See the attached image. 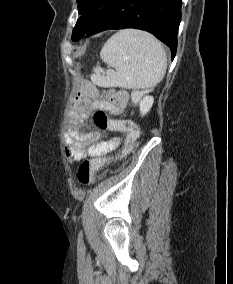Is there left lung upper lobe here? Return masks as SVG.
Wrapping results in <instances>:
<instances>
[{"label":"left lung upper lobe","instance_id":"obj_1","mask_svg":"<svg viewBox=\"0 0 233 284\" xmlns=\"http://www.w3.org/2000/svg\"><path fill=\"white\" fill-rule=\"evenodd\" d=\"M108 0H77L79 14L82 16L77 20V23L73 29L72 40H78L86 34V32L93 25L97 14L100 9Z\"/></svg>","mask_w":233,"mask_h":284}]
</instances>
